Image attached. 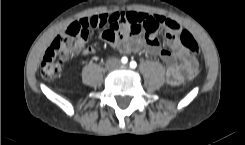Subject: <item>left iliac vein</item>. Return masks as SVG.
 I'll list each match as a JSON object with an SVG mask.
<instances>
[{"instance_id":"1","label":"left iliac vein","mask_w":245,"mask_h":145,"mask_svg":"<svg viewBox=\"0 0 245 145\" xmlns=\"http://www.w3.org/2000/svg\"><path fill=\"white\" fill-rule=\"evenodd\" d=\"M123 67L127 68V65H124Z\"/></svg>"}]
</instances>
